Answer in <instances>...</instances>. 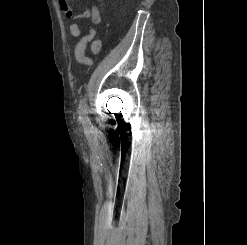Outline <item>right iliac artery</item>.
<instances>
[{"label":"right iliac artery","instance_id":"1","mask_svg":"<svg viewBox=\"0 0 247 245\" xmlns=\"http://www.w3.org/2000/svg\"><path fill=\"white\" fill-rule=\"evenodd\" d=\"M79 113H80V121L82 122L84 129L86 131H89L91 129V124L88 118V111H87V105H86V100L83 98L80 102V108H79Z\"/></svg>","mask_w":247,"mask_h":245}]
</instances>
